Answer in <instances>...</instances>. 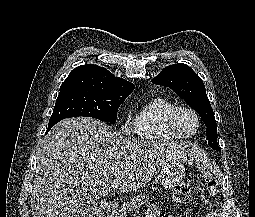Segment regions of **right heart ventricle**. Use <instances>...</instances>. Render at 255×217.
<instances>
[{
	"label": "right heart ventricle",
	"mask_w": 255,
	"mask_h": 217,
	"mask_svg": "<svg viewBox=\"0 0 255 217\" xmlns=\"http://www.w3.org/2000/svg\"><path fill=\"white\" fill-rule=\"evenodd\" d=\"M176 104L156 95L145 101L135 112L133 131L142 139L176 140L182 138L169 124L168 115Z\"/></svg>",
	"instance_id": "e07e8e85"
}]
</instances>
